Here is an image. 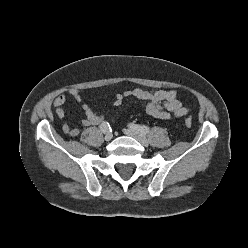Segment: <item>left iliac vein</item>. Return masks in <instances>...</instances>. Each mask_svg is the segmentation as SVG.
<instances>
[{"label":"left iliac vein","mask_w":248,"mask_h":248,"mask_svg":"<svg viewBox=\"0 0 248 248\" xmlns=\"http://www.w3.org/2000/svg\"><path fill=\"white\" fill-rule=\"evenodd\" d=\"M125 133L127 135L135 138L136 140H138L143 146H148L149 145V141L144 135H142V134H140V133H138V132H136L134 130H131V129H126Z\"/></svg>","instance_id":"4c4485c4"}]
</instances>
